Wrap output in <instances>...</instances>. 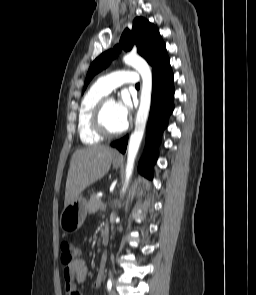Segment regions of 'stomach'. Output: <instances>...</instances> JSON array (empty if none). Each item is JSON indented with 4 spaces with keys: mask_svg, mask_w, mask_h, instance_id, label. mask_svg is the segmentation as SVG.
<instances>
[{
    "mask_svg": "<svg viewBox=\"0 0 256 295\" xmlns=\"http://www.w3.org/2000/svg\"><path fill=\"white\" fill-rule=\"evenodd\" d=\"M113 166L118 168L121 160L113 158ZM88 203L85 198L78 196L73 202L65 206L60 215V226L64 231L74 232L78 230L85 221Z\"/></svg>",
    "mask_w": 256,
    "mask_h": 295,
    "instance_id": "0dacf381",
    "label": "stomach"
}]
</instances>
